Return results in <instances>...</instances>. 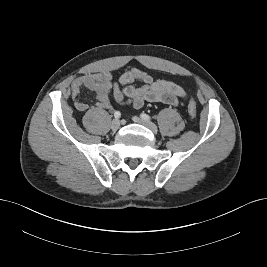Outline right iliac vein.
I'll return each mask as SVG.
<instances>
[{"label":"right iliac vein","mask_w":267,"mask_h":267,"mask_svg":"<svg viewBox=\"0 0 267 267\" xmlns=\"http://www.w3.org/2000/svg\"><path fill=\"white\" fill-rule=\"evenodd\" d=\"M120 127V121L118 119H114L112 122H111V129L113 131H116L118 130Z\"/></svg>","instance_id":"obj_1"}]
</instances>
